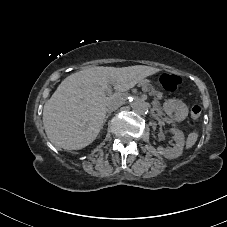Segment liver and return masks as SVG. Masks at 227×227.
Listing matches in <instances>:
<instances>
[{
	"instance_id": "liver-1",
	"label": "liver",
	"mask_w": 227,
	"mask_h": 227,
	"mask_svg": "<svg viewBox=\"0 0 227 227\" xmlns=\"http://www.w3.org/2000/svg\"><path fill=\"white\" fill-rule=\"evenodd\" d=\"M159 71L143 65L94 67L67 76L43 107L42 121L48 140L65 150L87 147L103 126L107 85L114 84L123 92ZM120 85L124 88L120 89Z\"/></svg>"
}]
</instances>
